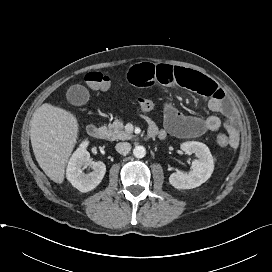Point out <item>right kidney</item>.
Instances as JSON below:
<instances>
[{
    "label": "right kidney",
    "mask_w": 272,
    "mask_h": 272,
    "mask_svg": "<svg viewBox=\"0 0 272 272\" xmlns=\"http://www.w3.org/2000/svg\"><path fill=\"white\" fill-rule=\"evenodd\" d=\"M89 142L83 141L68 162L67 179L80 192H89L102 181L106 166L103 162H91L90 153L86 150ZM90 166L93 171L85 174L83 170Z\"/></svg>",
    "instance_id": "ca27d5eb"
}]
</instances>
